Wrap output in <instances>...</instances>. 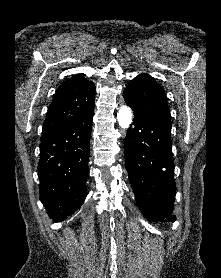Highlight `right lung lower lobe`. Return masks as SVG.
Here are the masks:
<instances>
[{
    "mask_svg": "<svg viewBox=\"0 0 221 278\" xmlns=\"http://www.w3.org/2000/svg\"><path fill=\"white\" fill-rule=\"evenodd\" d=\"M93 109L41 141L40 200L55 222L78 210L86 198Z\"/></svg>",
    "mask_w": 221,
    "mask_h": 278,
    "instance_id": "98d812e1",
    "label": "right lung lower lobe"
}]
</instances>
